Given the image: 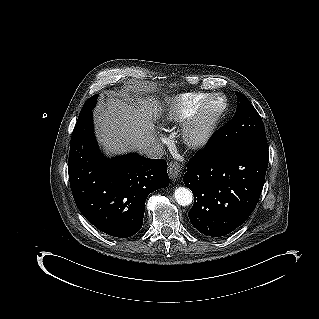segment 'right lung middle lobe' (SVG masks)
Masks as SVG:
<instances>
[{"instance_id": "obj_1", "label": "right lung middle lobe", "mask_w": 319, "mask_h": 319, "mask_svg": "<svg viewBox=\"0 0 319 319\" xmlns=\"http://www.w3.org/2000/svg\"><path fill=\"white\" fill-rule=\"evenodd\" d=\"M97 102V95H93L92 97H90L84 104L78 120L84 118L85 116H87L89 113L92 112L93 108L95 107V104Z\"/></svg>"}]
</instances>
